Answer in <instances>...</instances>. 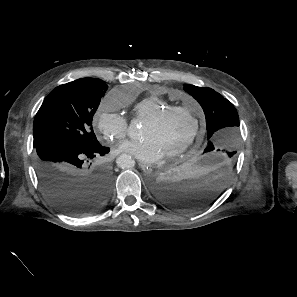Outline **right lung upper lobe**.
Instances as JSON below:
<instances>
[{
  "label": "right lung upper lobe",
  "instance_id": "1",
  "mask_svg": "<svg viewBox=\"0 0 297 297\" xmlns=\"http://www.w3.org/2000/svg\"><path fill=\"white\" fill-rule=\"evenodd\" d=\"M86 80H95V78H87Z\"/></svg>",
  "mask_w": 297,
  "mask_h": 297
}]
</instances>
